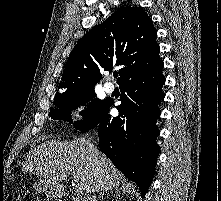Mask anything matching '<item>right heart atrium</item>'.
Segmentation results:
<instances>
[{
    "label": "right heart atrium",
    "mask_w": 221,
    "mask_h": 201,
    "mask_svg": "<svg viewBox=\"0 0 221 201\" xmlns=\"http://www.w3.org/2000/svg\"><path fill=\"white\" fill-rule=\"evenodd\" d=\"M71 115L74 118L81 119L84 117L85 113V104L83 102L75 103L71 108Z\"/></svg>",
    "instance_id": "1"
}]
</instances>
